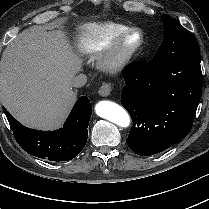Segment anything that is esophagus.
I'll return each instance as SVG.
<instances>
[{"instance_id":"34e87169","label":"esophagus","mask_w":209,"mask_h":209,"mask_svg":"<svg viewBox=\"0 0 209 209\" xmlns=\"http://www.w3.org/2000/svg\"><path fill=\"white\" fill-rule=\"evenodd\" d=\"M111 90H112V85L110 83H104L100 87L98 93L102 97H108L111 93Z\"/></svg>"}]
</instances>
